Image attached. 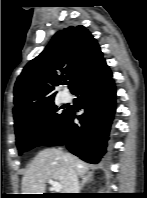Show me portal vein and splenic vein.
I'll list each match as a JSON object with an SVG mask.
<instances>
[{
    "label": "portal vein and splenic vein",
    "instance_id": "18ae733b",
    "mask_svg": "<svg viewBox=\"0 0 147 198\" xmlns=\"http://www.w3.org/2000/svg\"><path fill=\"white\" fill-rule=\"evenodd\" d=\"M48 183L52 186V189L56 192L59 193L62 189L61 184L58 181H54L52 179L48 180Z\"/></svg>",
    "mask_w": 147,
    "mask_h": 198
}]
</instances>
